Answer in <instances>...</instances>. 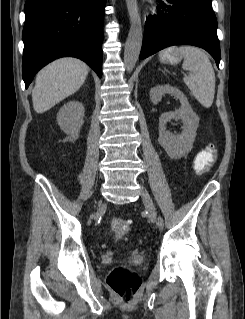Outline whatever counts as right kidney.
I'll list each match as a JSON object with an SVG mask.
<instances>
[{"mask_svg": "<svg viewBox=\"0 0 245 319\" xmlns=\"http://www.w3.org/2000/svg\"><path fill=\"white\" fill-rule=\"evenodd\" d=\"M84 106L79 101H69L64 104L57 114V122L61 130L68 137L67 140L75 141L79 137V132L84 124Z\"/></svg>", "mask_w": 245, "mask_h": 319, "instance_id": "right-kidney-1", "label": "right kidney"}]
</instances>
